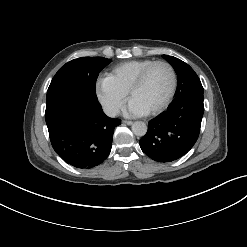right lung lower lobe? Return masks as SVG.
<instances>
[{
    "label": "right lung lower lobe",
    "instance_id": "obj_1",
    "mask_svg": "<svg viewBox=\"0 0 247 247\" xmlns=\"http://www.w3.org/2000/svg\"><path fill=\"white\" fill-rule=\"evenodd\" d=\"M45 120L53 149L68 164L90 169L110 154L120 119L106 116L97 98L60 94L46 101Z\"/></svg>",
    "mask_w": 247,
    "mask_h": 247
}]
</instances>
